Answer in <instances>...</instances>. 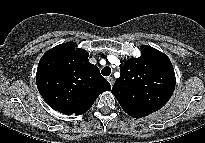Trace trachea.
I'll return each instance as SVG.
<instances>
[{
  "label": "trachea",
  "mask_w": 205,
  "mask_h": 143,
  "mask_svg": "<svg viewBox=\"0 0 205 143\" xmlns=\"http://www.w3.org/2000/svg\"><path fill=\"white\" fill-rule=\"evenodd\" d=\"M101 73H102L103 76H109L110 73H111V68L108 67V66H107V67H104V68L102 69Z\"/></svg>",
  "instance_id": "3493384b"
}]
</instances>
